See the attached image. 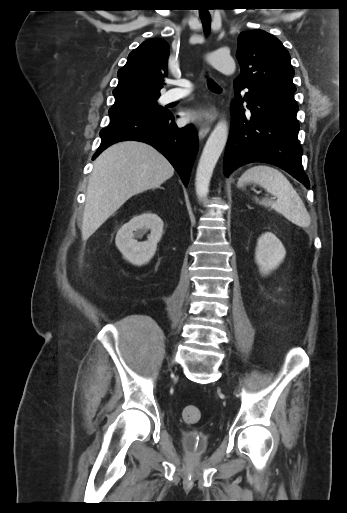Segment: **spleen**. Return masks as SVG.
Here are the masks:
<instances>
[{"label":"spleen","instance_id":"spleen-1","mask_svg":"<svg viewBox=\"0 0 347 513\" xmlns=\"http://www.w3.org/2000/svg\"><path fill=\"white\" fill-rule=\"evenodd\" d=\"M255 184L264 188L268 193L277 198L272 201L264 198L259 204L270 207L282 214L289 221L306 228L310 225L311 218L299 194L290 181L278 169L258 165L249 168L239 179L238 186L243 188L246 184Z\"/></svg>","mask_w":347,"mask_h":513}]
</instances>
